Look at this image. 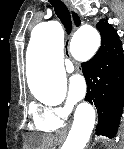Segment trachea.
I'll return each instance as SVG.
<instances>
[{
	"mask_svg": "<svg viewBox=\"0 0 124 149\" xmlns=\"http://www.w3.org/2000/svg\"><path fill=\"white\" fill-rule=\"evenodd\" d=\"M50 4L55 10L57 17L60 19L61 23L64 25L66 32L70 34L72 28V22L70 13L66 5L60 0H49Z\"/></svg>",
	"mask_w": 124,
	"mask_h": 149,
	"instance_id": "1",
	"label": "trachea"
}]
</instances>
